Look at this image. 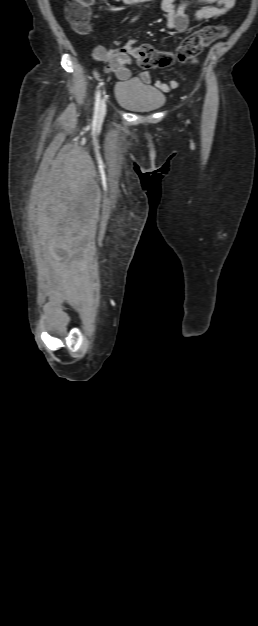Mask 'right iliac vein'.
Listing matches in <instances>:
<instances>
[{"mask_svg": "<svg viewBox=\"0 0 258 626\" xmlns=\"http://www.w3.org/2000/svg\"><path fill=\"white\" fill-rule=\"evenodd\" d=\"M105 112H106V99L103 98L99 107V114H98L99 120H101L104 117Z\"/></svg>", "mask_w": 258, "mask_h": 626, "instance_id": "63e3f726", "label": "right iliac vein"}]
</instances>
